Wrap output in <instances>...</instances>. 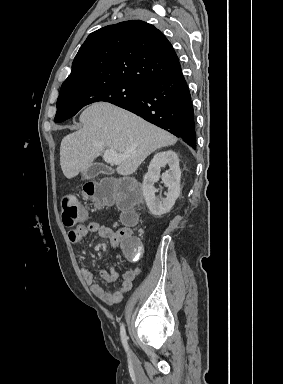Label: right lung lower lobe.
<instances>
[{
	"label": "right lung lower lobe",
	"mask_w": 283,
	"mask_h": 384,
	"mask_svg": "<svg viewBox=\"0 0 283 384\" xmlns=\"http://www.w3.org/2000/svg\"><path fill=\"white\" fill-rule=\"evenodd\" d=\"M136 99L115 104L161 127L196 148L194 110L189 88L179 71L155 80Z\"/></svg>",
	"instance_id": "98d812e1"
}]
</instances>
